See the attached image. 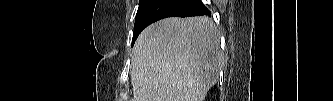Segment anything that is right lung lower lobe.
I'll return each instance as SVG.
<instances>
[{
	"mask_svg": "<svg viewBox=\"0 0 333 101\" xmlns=\"http://www.w3.org/2000/svg\"><path fill=\"white\" fill-rule=\"evenodd\" d=\"M209 14L201 0H147L137 11L133 43L144 28L160 19Z\"/></svg>",
	"mask_w": 333,
	"mask_h": 101,
	"instance_id": "1",
	"label": "right lung lower lobe"
}]
</instances>
